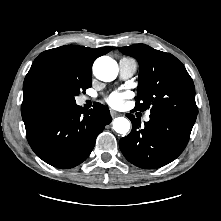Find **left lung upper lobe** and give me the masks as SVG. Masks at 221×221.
<instances>
[{
	"label": "left lung upper lobe",
	"mask_w": 221,
	"mask_h": 221,
	"mask_svg": "<svg viewBox=\"0 0 221 221\" xmlns=\"http://www.w3.org/2000/svg\"><path fill=\"white\" fill-rule=\"evenodd\" d=\"M140 66L136 109H151V114H165L195 123L197 106L195 87L184 65L172 54L145 44L121 47Z\"/></svg>",
	"instance_id": "left-lung-upper-lobe-1"
}]
</instances>
